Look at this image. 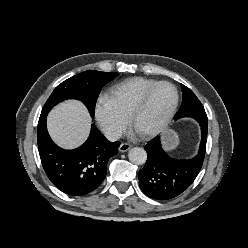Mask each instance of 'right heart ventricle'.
I'll use <instances>...</instances> for the list:
<instances>
[{
    "label": "right heart ventricle",
    "mask_w": 248,
    "mask_h": 248,
    "mask_svg": "<svg viewBox=\"0 0 248 248\" xmlns=\"http://www.w3.org/2000/svg\"><path fill=\"white\" fill-rule=\"evenodd\" d=\"M156 82L145 77H133L111 86L108 94L118 110L128 119L131 109L144 91Z\"/></svg>",
    "instance_id": "obj_1"
}]
</instances>
